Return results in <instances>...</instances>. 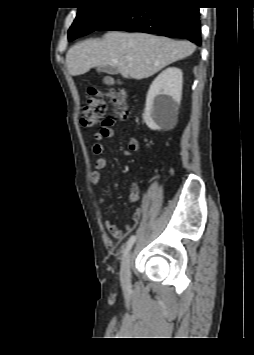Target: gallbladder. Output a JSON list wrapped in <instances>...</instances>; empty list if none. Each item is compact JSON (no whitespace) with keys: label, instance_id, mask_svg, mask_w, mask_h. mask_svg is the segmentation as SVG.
Returning a JSON list of instances; mask_svg holds the SVG:
<instances>
[{"label":"gallbladder","instance_id":"1","mask_svg":"<svg viewBox=\"0 0 254 355\" xmlns=\"http://www.w3.org/2000/svg\"><path fill=\"white\" fill-rule=\"evenodd\" d=\"M97 71L114 74L118 72V69L116 67H111V66H99L97 67Z\"/></svg>","mask_w":254,"mask_h":355}]
</instances>
